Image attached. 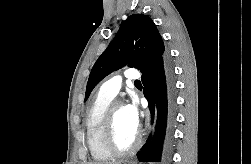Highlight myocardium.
<instances>
[{
	"label": "myocardium",
	"mask_w": 251,
	"mask_h": 164,
	"mask_svg": "<svg viewBox=\"0 0 251 164\" xmlns=\"http://www.w3.org/2000/svg\"><path fill=\"white\" fill-rule=\"evenodd\" d=\"M122 106L120 102H113L106 113L104 122V143L107 149L113 154L118 156L128 155L137 150L141 142L140 132L137 130L134 142L127 148L120 147L116 142L115 137V112L116 109Z\"/></svg>",
	"instance_id": "1"
}]
</instances>
